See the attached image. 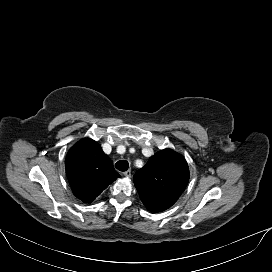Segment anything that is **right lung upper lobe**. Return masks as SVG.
<instances>
[{
  "mask_svg": "<svg viewBox=\"0 0 272 272\" xmlns=\"http://www.w3.org/2000/svg\"><path fill=\"white\" fill-rule=\"evenodd\" d=\"M66 175L74 195L91 203L120 175L101 146L90 138L77 142L66 157Z\"/></svg>",
  "mask_w": 272,
  "mask_h": 272,
  "instance_id": "right-lung-upper-lobe-1",
  "label": "right lung upper lobe"
}]
</instances>
